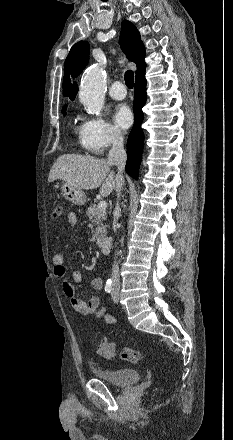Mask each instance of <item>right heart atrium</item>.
Listing matches in <instances>:
<instances>
[{
	"label": "right heart atrium",
	"instance_id": "1",
	"mask_svg": "<svg viewBox=\"0 0 233 440\" xmlns=\"http://www.w3.org/2000/svg\"><path fill=\"white\" fill-rule=\"evenodd\" d=\"M122 140V134L104 118L87 116L83 119L82 143L90 153L102 154Z\"/></svg>",
	"mask_w": 233,
	"mask_h": 440
}]
</instances>
